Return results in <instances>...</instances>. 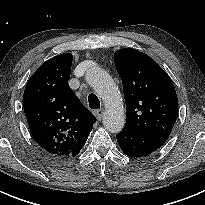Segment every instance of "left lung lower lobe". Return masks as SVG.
<instances>
[{
	"label": "left lung lower lobe",
	"mask_w": 205,
	"mask_h": 205,
	"mask_svg": "<svg viewBox=\"0 0 205 205\" xmlns=\"http://www.w3.org/2000/svg\"><path fill=\"white\" fill-rule=\"evenodd\" d=\"M122 151L129 157H143L160 148L165 141L124 128L116 135Z\"/></svg>",
	"instance_id": "left-lung-lower-lobe-1"
}]
</instances>
